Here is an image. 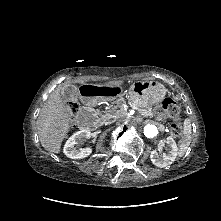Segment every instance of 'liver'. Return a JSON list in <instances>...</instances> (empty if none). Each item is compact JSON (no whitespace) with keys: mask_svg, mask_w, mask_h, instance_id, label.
I'll use <instances>...</instances> for the list:
<instances>
[{"mask_svg":"<svg viewBox=\"0 0 221 221\" xmlns=\"http://www.w3.org/2000/svg\"><path fill=\"white\" fill-rule=\"evenodd\" d=\"M123 81H109L104 87H119ZM65 86V85H64ZM63 86L52 92L44 103L37 119V131L42 147L53 153H59L61 143L69 132L72 124V111L61 99Z\"/></svg>","mask_w":221,"mask_h":221,"instance_id":"1","label":"liver"}]
</instances>
